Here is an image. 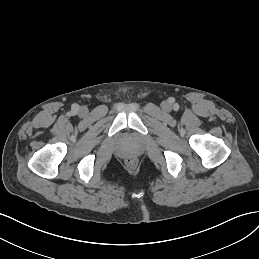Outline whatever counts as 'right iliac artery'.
Here are the masks:
<instances>
[{
    "label": "right iliac artery",
    "mask_w": 259,
    "mask_h": 259,
    "mask_svg": "<svg viewBox=\"0 0 259 259\" xmlns=\"http://www.w3.org/2000/svg\"><path fill=\"white\" fill-rule=\"evenodd\" d=\"M72 109H73L74 112H76V111H78L79 106L77 104H73Z\"/></svg>",
    "instance_id": "right-iliac-artery-1"
}]
</instances>
